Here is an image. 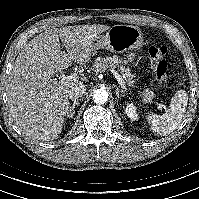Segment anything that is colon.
<instances>
[{"instance_id": "obj_1", "label": "colon", "mask_w": 199, "mask_h": 199, "mask_svg": "<svg viewBox=\"0 0 199 199\" xmlns=\"http://www.w3.org/2000/svg\"><path fill=\"white\" fill-rule=\"evenodd\" d=\"M167 52L168 48L164 45L159 47L152 45L147 50V57L153 76L157 81L161 83L162 86L166 85L168 79V66L163 59Z\"/></svg>"}]
</instances>
